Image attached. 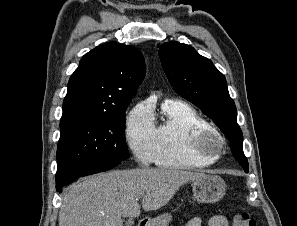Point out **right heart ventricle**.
I'll list each match as a JSON object with an SVG mask.
<instances>
[{"label": "right heart ventricle", "mask_w": 297, "mask_h": 226, "mask_svg": "<svg viewBox=\"0 0 297 226\" xmlns=\"http://www.w3.org/2000/svg\"><path fill=\"white\" fill-rule=\"evenodd\" d=\"M153 115V114H152ZM155 158L158 166L174 169H197L209 166L215 160L196 156L190 141L194 133L211 127L209 121L195 108L180 100H166L155 119Z\"/></svg>", "instance_id": "e07e8e85"}]
</instances>
